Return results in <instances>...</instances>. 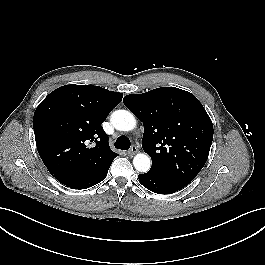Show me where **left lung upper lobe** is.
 <instances>
[{"label": "left lung upper lobe", "mask_w": 265, "mask_h": 265, "mask_svg": "<svg viewBox=\"0 0 265 265\" xmlns=\"http://www.w3.org/2000/svg\"><path fill=\"white\" fill-rule=\"evenodd\" d=\"M124 104L144 124L142 147L152 159L151 171L188 185L205 165L213 124L191 93L162 87L124 97Z\"/></svg>", "instance_id": "obj_1"}]
</instances>
